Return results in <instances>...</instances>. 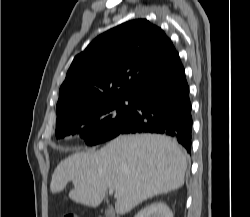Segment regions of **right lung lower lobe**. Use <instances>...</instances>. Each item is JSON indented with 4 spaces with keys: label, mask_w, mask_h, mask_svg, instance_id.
<instances>
[{
    "label": "right lung lower lobe",
    "mask_w": 250,
    "mask_h": 217,
    "mask_svg": "<svg viewBox=\"0 0 250 217\" xmlns=\"http://www.w3.org/2000/svg\"><path fill=\"white\" fill-rule=\"evenodd\" d=\"M131 100L133 115L120 134L151 132L170 135L191 153V102L180 59Z\"/></svg>",
    "instance_id": "obj_1"
}]
</instances>
